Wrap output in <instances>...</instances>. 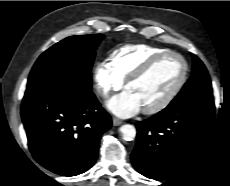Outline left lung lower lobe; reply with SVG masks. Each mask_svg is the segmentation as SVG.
<instances>
[{"mask_svg":"<svg viewBox=\"0 0 230 186\" xmlns=\"http://www.w3.org/2000/svg\"><path fill=\"white\" fill-rule=\"evenodd\" d=\"M213 96L167 106L136 124L131 155L135 169L147 178L166 180L182 170L205 143L213 125Z\"/></svg>","mask_w":230,"mask_h":186,"instance_id":"obj_1","label":"left lung lower lobe"}]
</instances>
